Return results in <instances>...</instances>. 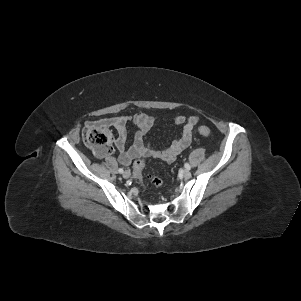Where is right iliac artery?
<instances>
[{
    "label": "right iliac artery",
    "instance_id": "1",
    "mask_svg": "<svg viewBox=\"0 0 301 301\" xmlns=\"http://www.w3.org/2000/svg\"><path fill=\"white\" fill-rule=\"evenodd\" d=\"M118 172H119V173H123V172H124L123 168H119V169H118Z\"/></svg>",
    "mask_w": 301,
    "mask_h": 301
}]
</instances>
